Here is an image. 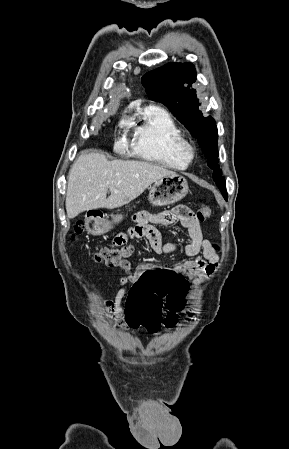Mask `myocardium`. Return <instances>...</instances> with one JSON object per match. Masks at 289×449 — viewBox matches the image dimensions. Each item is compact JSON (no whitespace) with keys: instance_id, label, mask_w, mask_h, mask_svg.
<instances>
[{"instance_id":"obj_1","label":"myocardium","mask_w":289,"mask_h":449,"mask_svg":"<svg viewBox=\"0 0 289 449\" xmlns=\"http://www.w3.org/2000/svg\"><path fill=\"white\" fill-rule=\"evenodd\" d=\"M175 147L178 154L188 162L192 161L196 156L195 146L183 136L176 140Z\"/></svg>"}]
</instances>
